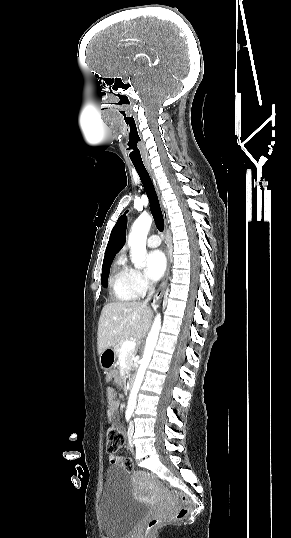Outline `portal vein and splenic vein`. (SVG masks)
<instances>
[{"instance_id":"1","label":"portal vein and splenic vein","mask_w":291,"mask_h":538,"mask_svg":"<svg viewBox=\"0 0 291 538\" xmlns=\"http://www.w3.org/2000/svg\"><path fill=\"white\" fill-rule=\"evenodd\" d=\"M135 347H136L135 341H126L122 344L121 350L128 351V350L135 349Z\"/></svg>"}]
</instances>
